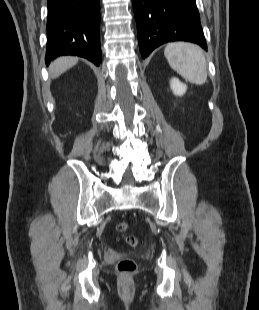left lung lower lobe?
<instances>
[{"label": "left lung lower lobe", "mask_w": 259, "mask_h": 310, "mask_svg": "<svg viewBox=\"0 0 259 310\" xmlns=\"http://www.w3.org/2000/svg\"><path fill=\"white\" fill-rule=\"evenodd\" d=\"M139 48L146 58L158 46L189 41L207 50L196 0H132Z\"/></svg>", "instance_id": "0a47b994"}]
</instances>
